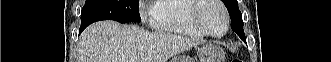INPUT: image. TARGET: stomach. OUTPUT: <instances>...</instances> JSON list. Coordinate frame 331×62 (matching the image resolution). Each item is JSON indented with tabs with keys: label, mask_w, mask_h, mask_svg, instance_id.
I'll return each mask as SVG.
<instances>
[{
	"label": "stomach",
	"mask_w": 331,
	"mask_h": 62,
	"mask_svg": "<svg viewBox=\"0 0 331 62\" xmlns=\"http://www.w3.org/2000/svg\"><path fill=\"white\" fill-rule=\"evenodd\" d=\"M225 53L222 48L214 44H205L199 49L200 62H223ZM170 62H194L186 56H176Z\"/></svg>",
	"instance_id": "stomach-1"
}]
</instances>
